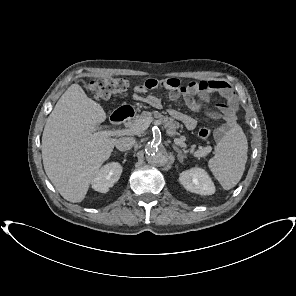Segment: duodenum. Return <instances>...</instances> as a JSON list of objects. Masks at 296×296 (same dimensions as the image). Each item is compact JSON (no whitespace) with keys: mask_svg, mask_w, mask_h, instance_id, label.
<instances>
[{"mask_svg":"<svg viewBox=\"0 0 296 296\" xmlns=\"http://www.w3.org/2000/svg\"><path fill=\"white\" fill-rule=\"evenodd\" d=\"M133 116H134V110L130 107H127L114 112L111 115L110 120L113 125H119L124 121L132 118Z\"/></svg>","mask_w":296,"mask_h":296,"instance_id":"duodenum-1","label":"duodenum"}]
</instances>
